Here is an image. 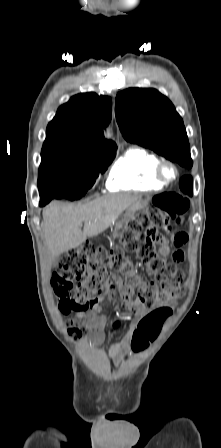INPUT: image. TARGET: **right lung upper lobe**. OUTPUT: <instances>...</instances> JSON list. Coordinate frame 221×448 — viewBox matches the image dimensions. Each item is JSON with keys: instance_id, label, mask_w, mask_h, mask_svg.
<instances>
[{"instance_id": "obj_1", "label": "right lung upper lobe", "mask_w": 221, "mask_h": 448, "mask_svg": "<svg viewBox=\"0 0 221 448\" xmlns=\"http://www.w3.org/2000/svg\"><path fill=\"white\" fill-rule=\"evenodd\" d=\"M111 117L110 97L92 92L73 96L48 124L42 150L64 148L86 155L116 153V144L103 136V127Z\"/></svg>"}]
</instances>
